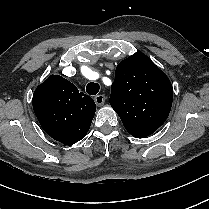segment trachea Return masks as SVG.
I'll use <instances>...</instances> for the list:
<instances>
[{
    "mask_svg": "<svg viewBox=\"0 0 209 209\" xmlns=\"http://www.w3.org/2000/svg\"><path fill=\"white\" fill-rule=\"evenodd\" d=\"M99 89H100L99 84L94 82L88 83L86 86V92L89 95H96L99 92Z\"/></svg>",
    "mask_w": 209,
    "mask_h": 209,
    "instance_id": "trachea-1",
    "label": "trachea"
}]
</instances>
